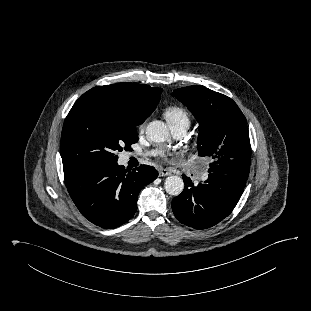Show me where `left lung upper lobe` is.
Masks as SVG:
<instances>
[{
  "mask_svg": "<svg viewBox=\"0 0 311 311\" xmlns=\"http://www.w3.org/2000/svg\"><path fill=\"white\" fill-rule=\"evenodd\" d=\"M199 122L197 150L209 157L208 172L248 179L251 146L246 119L229 97L202 86H189L172 93Z\"/></svg>",
  "mask_w": 311,
  "mask_h": 311,
  "instance_id": "5c2ea615",
  "label": "left lung upper lobe"
}]
</instances>
